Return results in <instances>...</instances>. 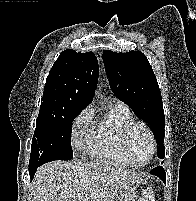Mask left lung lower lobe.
<instances>
[{"instance_id":"1","label":"left lung lower lobe","mask_w":196,"mask_h":201,"mask_svg":"<svg viewBox=\"0 0 196 201\" xmlns=\"http://www.w3.org/2000/svg\"><path fill=\"white\" fill-rule=\"evenodd\" d=\"M150 173L159 177L164 183H166V175L162 166L155 167Z\"/></svg>"}]
</instances>
